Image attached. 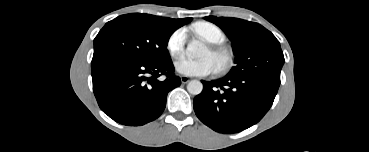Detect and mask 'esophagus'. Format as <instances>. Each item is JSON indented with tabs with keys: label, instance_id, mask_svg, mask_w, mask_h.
<instances>
[{
	"label": "esophagus",
	"instance_id": "esophagus-1",
	"mask_svg": "<svg viewBox=\"0 0 369 152\" xmlns=\"http://www.w3.org/2000/svg\"><path fill=\"white\" fill-rule=\"evenodd\" d=\"M180 79L183 84H186L190 80L187 76L184 75L180 76Z\"/></svg>",
	"mask_w": 369,
	"mask_h": 152
}]
</instances>
